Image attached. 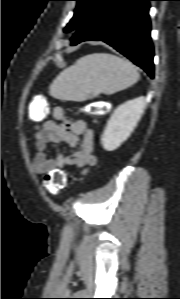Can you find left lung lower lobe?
<instances>
[{
	"instance_id": "obj_1",
	"label": "left lung lower lobe",
	"mask_w": 180,
	"mask_h": 299,
	"mask_svg": "<svg viewBox=\"0 0 180 299\" xmlns=\"http://www.w3.org/2000/svg\"><path fill=\"white\" fill-rule=\"evenodd\" d=\"M149 1L97 0L72 36V45L103 41L154 77Z\"/></svg>"
}]
</instances>
